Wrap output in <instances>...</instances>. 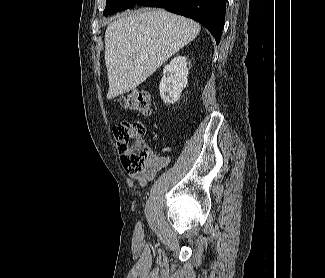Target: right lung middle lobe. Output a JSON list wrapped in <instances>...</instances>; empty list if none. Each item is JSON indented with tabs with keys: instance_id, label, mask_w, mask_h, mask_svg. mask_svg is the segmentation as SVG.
<instances>
[{
	"instance_id": "dd1d6c3e",
	"label": "right lung middle lobe",
	"mask_w": 325,
	"mask_h": 278,
	"mask_svg": "<svg viewBox=\"0 0 325 278\" xmlns=\"http://www.w3.org/2000/svg\"><path fill=\"white\" fill-rule=\"evenodd\" d=\"M138 0H106L104 15L108 16L118 11L133 7Z\"/></svg>"
}]
</instances>
